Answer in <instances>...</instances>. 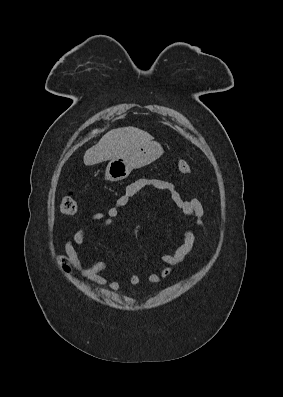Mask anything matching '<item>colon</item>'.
Segmentation results:
<instances>
[{
	"instance_id": "colon-1",
	"label": "colon",
	"mask_w": 283,
	"mask_h": 397,
	"mask_svg": "<svg viewBox=\"0 0 283 397\" xmlns=\"http://www.w3.org/2000/svg\"><path fill=\"white\" fill-rule=\"evenodd\" d=\"M177 170L182 175H189L191 173V166L186 161H179L177 163ZM77 210V202L72 196L64 197L59 205V211L64 216H73L77 213Z\"/></svg>"
}]
</instances>
